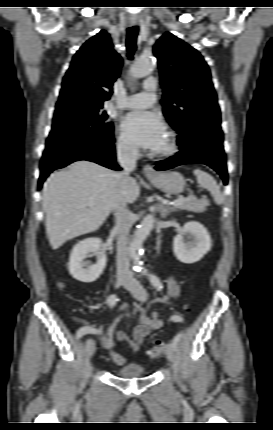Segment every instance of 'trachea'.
<instances>
[{
    "instance_id": "obj_1",
    "label": "trachea",
    "mask_w": 273,
    "mask_h": 430,
    "mask_svg": "<svg viewBox=\"0 0 273 430\" xmlns=\"http://www.w3.org/2000/svg\"><path fill=\"white\" fill-rule=\"evenodd\" d=\"M137 34H138V27L137 26H133V27H130L128 29V35H127V39H126V47H127L128 52H129V54H128L129 59H132L134 51L136 50L135 43H136Z\"/></svg>"
}]
</instances>
